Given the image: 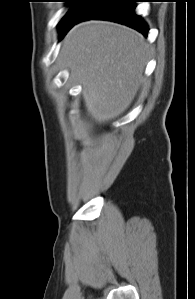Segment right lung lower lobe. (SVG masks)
<instances>
[{
	"mask_svg": "<svg viewBox=\"0 0 195 299\" xmlns=\"http://www.w3.org/2000/svg\"><path fill=\"white\" fill-rule=\"evenodd\" d=\"M134 3L135 0H94L81 17L66 28L61 37L76 23L89 19L118 22L134 28L144 36H147L148 26L142 18L135 13Z\"/></svg>",
	"mask_w": 195,
	"mask_h": 299,
	"instance_id": "98d812e1",
	"label": "right lung lower lobe"
}]
</instances>
